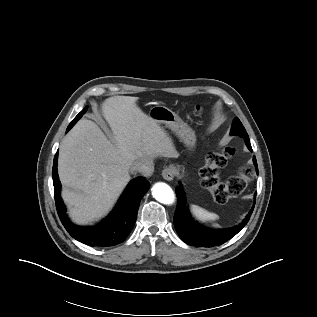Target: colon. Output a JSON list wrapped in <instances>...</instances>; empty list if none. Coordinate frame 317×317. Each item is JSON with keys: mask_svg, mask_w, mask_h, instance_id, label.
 <instances>
[{"mask_svg": "<svg viewBox=\"0 0 317 317\" xmlns=\"http://www.w3.org/2000/svg\"><path fill=\"white\" fill-rule=\"evenodd\" d=\"M196 111L199 112L200 108L197 107ZM234 152L232 147H225L220 151L210 153L200 172L203 187L208 189L214 200L218 202H225L231 197L241 195L251 180V170L247 167L241 168L236 176L226 182L220 180V170L227 164Z\"/></svg>", "mask_w": 317, "mask_h": 317, "instance_id": "5ec220e1", "label": "colon"}]
</instances>
